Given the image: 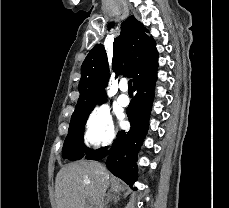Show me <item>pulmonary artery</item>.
<instances>
[{"instance_id": "e3ab8cb5", "label": "pulmonary artery", "mask_w": 229, "mask_h": 208, "mask_svg": "<svg viewBox=\"0 0 229 208\" xmlns=\"http://www.w3.org/2000/svg\"><path fill=\"white\" fill-rule=\"evenodd\" d=\"M127 88H128L127 82H126V80L123 79L120 82V90H121L122 93H121V95L118 98L119 103L121 105H123V106L128 105L129 102H130V99H129L127 93H126Z\"/></svg>"}]
</instances>
